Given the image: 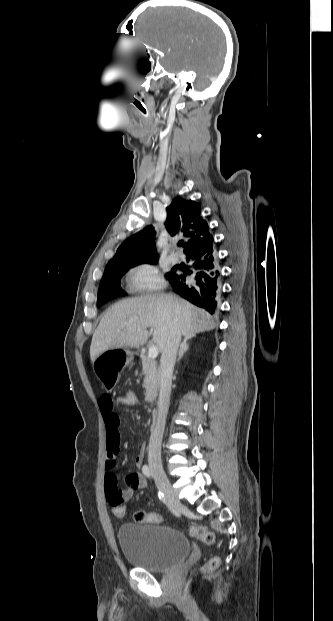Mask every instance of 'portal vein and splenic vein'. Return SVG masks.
Masks as SVG:
<instances>
[{
	"mask_svg": "<svg viewBox=\"0 0 333 621\" xmlns=\"http://www.w3.org/2000/svg\"><path fill=\"white\" fill-rule=\"evenodd\" d=\"M141 328H138V331H141ZM158 356V349L155 345H151L148 351V357L154 360Z\"/></svg>",
	"mask_w": 333,
	"mask_h": 621,
	"instance_id": "portal-vein-and-splenic-vein-1",
	"label": "portal vein and splenic vein"
}]
</instances>
